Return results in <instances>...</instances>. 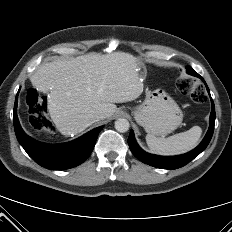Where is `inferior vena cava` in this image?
I'll return each mask as SVG.
<instances>
[{"label": "inferior vena cava", "mask_w": 232, "mask_h": 232, "mask_svg": "<svg viewBox=\"0 0 232 232\" xmlns=\"http://www.w3.org/2000/svg\"><path fill=\"white\" fill-rule=\"evenodd\" d=\"M101 118H102V116L99 115V114H92V115H91V120H92V122L98 121V120L101 119Z\"/></svg>", "instance_id": "1"}]
</instances>
